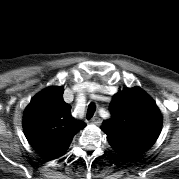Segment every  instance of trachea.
I'll list each match as a JSON object with an SVG mask.
<instances>
[{
	"instance_id": "obj_1",
	"label": "trachea",
	"mask_w": 179,
	"mask_h": 179,
	"mask_svg": "<svg viewBox=\"0 0 179 179\" xmlns=\"http://www.w3.org/2000/svg\"><path fill=\"white\" fill-rule=\"evenodd\" d=\"M95 110H96V105L95 103L91 102L88 106V109H87V115H86V118L89 120L90 118L93 117L94 113H95Z\"/></svg>"
}]
</instances>
